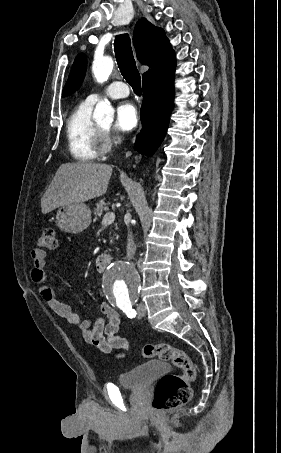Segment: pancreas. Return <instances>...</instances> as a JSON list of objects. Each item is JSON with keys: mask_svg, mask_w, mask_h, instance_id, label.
Listing matches in <instances>:
<instances>
[{"mask_svg": "<svg viewBox=\"0 0 281 453\" xmlns=\"http://www.w3.org/2000/svg\"><path fill=\"white\" fill-rule=\"evenodd\" d=\"M105 210H109V206H107L103 198V200H99V202H96V206H94L93 208V214H95V218L101 216L102 212H105Z\"/></svg>", "mask_w": 281, "mask_h": 453, "instance_id": "obj_1", "label": "pancreas"}]
</instances>
